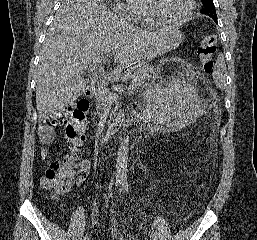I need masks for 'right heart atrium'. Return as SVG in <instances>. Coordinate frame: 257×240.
I'll list each match as a JSON object with an SVG mask.
<instances>
[{
    "mask_svg": "<svg viewBox=\"0 0 257 240\" xmlns=\"http://www.w3.org/2000/svg\"><path fill=\"white\" fill-rule=\"evenodd\" d=\"M131 1L132 0H113L115 11L129 21H133L135 19V11L131 7Z\"/></svg>",
    "mask_w": 257,
    "mask_h": 240,
    "instance_id": "d8ad5b80",
    "label": "right heart atrium"
}]
</instances>
